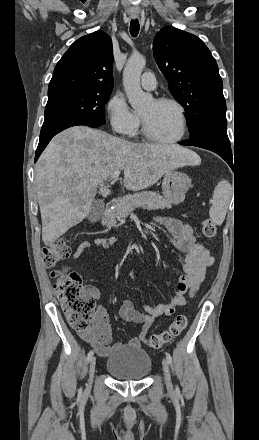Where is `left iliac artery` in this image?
<instances>
[{"mask_svg":"<svg viewBox=\"0 0 259 440\" xmlns=\"http://www.w3.org/2000/svg\"><path fill=\"white\" fill-rule=\"evenodd\" d=\"M166 358H167V362L169 364H171L172 363V358H171V355L168 352L166 353Z\"/></svg>","mask_w":259,"mask_h":440,"instance_id":"left-iliac-artery-1","label":"left iliac artery"}]
</instances>
